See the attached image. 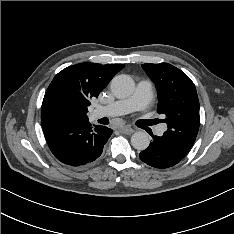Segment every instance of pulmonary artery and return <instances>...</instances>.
Returning <instances> with one entry per match:
<instances>
[{
	"instance_id": "1",
	"label": "pulmonary artery",
	"mask_w": 234,
	"mask_h": 234,
	"mask_svg": "<svg viewBox=\"0 0 234 234\" xmlns=\"http://www.w3.org/2000/svg\"><path fill=\"white\" fill-rule=\"evenodd\" d=\"M152 96V84L147 80L140 81L137 85L135 93L122 100H117L110 105L100 106L96 109V117L100 116H118L126 114L132 110L144 111ZM165 131L164 126L157 129V134L162 135Z\"/></svg>"
}]
</instances>
